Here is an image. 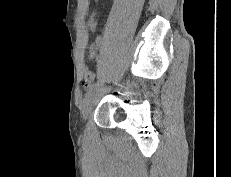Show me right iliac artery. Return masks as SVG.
I'll return each mask as SVG.
<instances>
[{
	"label": "right iliac artery",
	"mask_w": 231,
	"mask_h": 177,
	"mask_svg": "<svg viewBox=\"0 0 231 177\" xmlns=\"http://www.w3.org/2000/svg\"><path fill=\"white\" fill-rule=\"evenodd\" d=\"M95 86H96L95 83L92 84V85H90V86H89V89H88V91H87V94L91 93V92L93 91V89H94Z\"/></svg>",
	"instance_id": "82829eb1"
}]
</instances>
